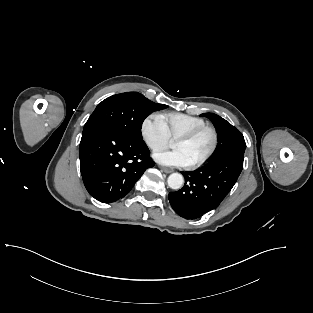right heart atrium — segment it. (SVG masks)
Here are the masks:
<instances>
[{
	"label": "right heart atrium",
	"mask_w": 313,
	"mask_h": 313,
	"mask_svg": "<svg viewBox=\"0 0 313 313\" xmlns=\"http://www.w3.org/2000/svg\"><path fill=\"white\" fill-rule=\"evenodd\" d=\"M141 135L146 145L152 151L167 147L171 137L159 114L147 116L141 124Z\"/></svg>",
	"instance_id": "1"
}]
</instances>
